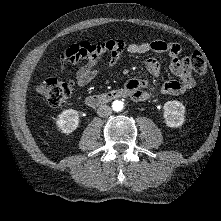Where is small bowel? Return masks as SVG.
<instances>
[{"mask_svg": "<svg viewBox=\"0 0 221 221\" xmlns=\"http://www.w3.org/2000/svg\"><path fill=\"white\" fill-rule=\"evenodd\" d=\"M76 46L79 49V57L87 58V63L75 75L76 83L81 87L88 85L100 73L103 68V57L106 56L108 66L113 67L119 62L124 50L131 54L156 52L169 55V68L177 79L164 82L158 89L160 94L180 95L192 89L196 84L186 59L180 56L181 46L174 42L154 40L126 44L121 39H112L100 44L84 41ZM145 66L152 76L156 78L160 76L161 67L157 59L147 58ZM150 88V83L141 79H131L124 86L129 96L135 101L149 99L153 95Z\"/></svg>", "mask_w": 221, "mask_h": 221, "instance_id": "c3829d8e", "label": "small bowel"}]
</instances>
